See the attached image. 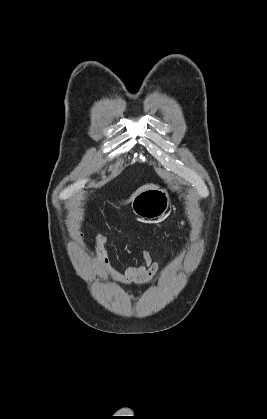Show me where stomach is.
<instances>
[{
  "instance_id": "obj_1",
  "label": "stomach",
  "mask_w": 267,
  "mask_h": 419,
  "mask_svg": "<svg viewBox=\"0 0 267 419\" xmlns=\"http://www.w3.org/2000/svg\"><path fill=\"white\" fill-rule=\"evenodd\" d=\"M176 192L182 190L180 183L172 185ZM170 205L169 195L166 189L150 188L137 194L131 202V208L135 215L144 219H156L164 216Z\"/></svg>"
}]
</instances>
